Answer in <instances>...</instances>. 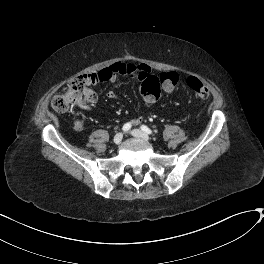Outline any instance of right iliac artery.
Instances as JSON below:
<instances>
[{"mask_svg": "<svg viewBox=\"0 0 264 264\" xmlns=\"http://www.w3.org/2000/svg\"><path fill=\"white\" fill-rule=\"evenodd\" d=\"M130 128H131V123H126V124H124V126L122 127V130H123L124 132H127Z\"/></svg>", "mask_w": 264, "mask_h": 264, "instance_id": "right-iliac-artery-1", "label": "right iliac artery"}]
</instances>
